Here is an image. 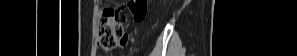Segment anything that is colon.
<instances>
[{
	"instance_id": "1",
	"label": "colon",
	"mask_w": 297,
	"mask_h": 56,
	"mask_svg": "<svg viewBox=\"0 0 297 56\" xmlns=\"http://www.w3.org/2000/svg\"><path fill=\"white\" fill-rule=\"evenodd\" d=\"M129 10L136 22L145 18L147 10L146 0H133L129 4ZM125 13L123 9H104L98 23V48L102 51H110L119 46L120 36L124 33L123 20Z\"/></svg>"
}]
</instances>
